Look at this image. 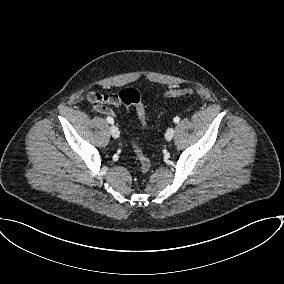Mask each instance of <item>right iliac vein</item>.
I'll use <instances>...</instances> for the list:
<instances>
[{
  "mask_svg": "<svg viewBox=\"0 0 284 284\" xmlns=\"http://www.w3.org/2000/svg\"><path fill=\"white\" fill-rule=\"evenodd\" d=\"M110 133H111L112 137H114L115 139H117L120 135L119 129L115 125H112L110 127Z\"/></svg>",
  "mask_w": 284,
  "mask_h": 284,
  "instance_id": "right-iliac-vein-1",
  "label": "right iliac vein"
}]
</instances>
